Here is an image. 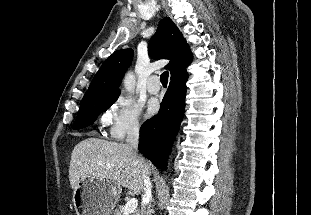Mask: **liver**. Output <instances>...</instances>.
Segmentation results:
<instances>
[{"mask_svg": "<svg viewBox=\"0 0 311 215\" xmlns=\"http://www.w3.org/2000/svg\"><path fill=\"white\" fill-rule=\"evenodd\" d=\"M138 156L127 144L98 138H87L73 149L69 166V181L75 189L79 181L92 177L115 183L139 195L144 188L145 176L151 174V165Z\"/></svg>", "mask_w": 311, "mask_h": 215, "instance_id": "liver-1", "label": "liver"}]
</instances>
